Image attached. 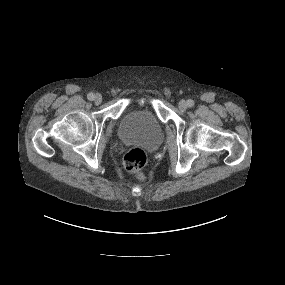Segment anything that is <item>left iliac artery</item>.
<instances>
[{
  "mask_svg": "<svg viewBox=\"0 0 285 285\" xmlns=\"http://www.w3.org/2000/svg\"><path fill=\"white\" fill-rule=\"evenodd\" d=\"M187 105H188L189 107H193V106H194V101L191 100V99H189V100L187 101Z\"/></svg>",
  "mask_w": 285,
  "mask_h": 285,
  "instance_id": "44dca946",
  "label": "left iliac artery"
}]
</instances>
